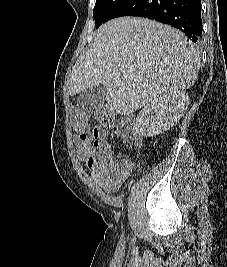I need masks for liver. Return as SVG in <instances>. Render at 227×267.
I'll return each mask as SVG.
<instances>
[{"label": "liver", "mask_w": 227, "mask_h": 267, "mask_svg": "<svg viewBox=\"0 0 227 267\" xmlns=\"http://www.w3.org/2000/svg\"><path fill=\"white\" fill-rule=\"evenodd\" d=\"M76 62L69 93L104 85L106 101L132 114L166 93L189 89L199 72V52L179 30L145 18L122 17L102 25Z\"/></svg>", "instance_id": "liver-1"}]
</instances>
